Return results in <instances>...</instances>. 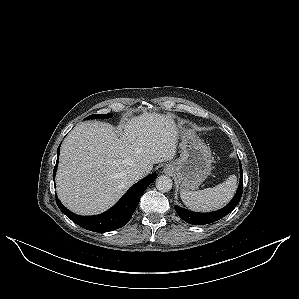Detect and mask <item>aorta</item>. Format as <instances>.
Segmentation results:
<instances>
[{"label": "aorta", "instance_id": "aorta-1", "mask_svg": "<svg viewBox=\"0 0 299 299\" xmlns=\"http://www.w3.org/2000/svg\"><path fill=\"white\" fill-rule=\"evenodd\" d=\"M172 180L170 177L161 175L156 179V188L160 192H168L172 189Z\"/></svg>", "mask_w": 299, "mask_h": 299}]
</instances>
